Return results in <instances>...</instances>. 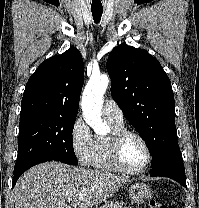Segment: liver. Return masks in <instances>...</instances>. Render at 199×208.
Masks as SVG:
<instances>
[{"instance_id": "1", "label": "liver", "mask_w": 199, "mask_h": 208, "mask_svg": "<svg viewBox=\"0 0 199 208\" xmlns=\"http://www.w3.org/2000/svg\"><path fill=\"white\" fill-rule=\"evenodd\" d=\"M128 177L46 162L27 170L13 189L15 208H90L111 197ZM72 204L67 205L68 198Z\"/></svg>"}]
</instances>
